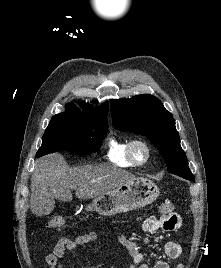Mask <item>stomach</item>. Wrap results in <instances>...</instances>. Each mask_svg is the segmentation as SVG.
<instances>
[{"label":"stomach","instance_id":"stomach-1","mask_svg":"<svg viewBox=\"0 0 221 268\" xmlns=\"http://www.w3.org/2000/svg\"><path fill=\"white\" fill-rule=\"evenodd\" d=\"M159 193V188L152 181L135 178L109 193L94 198L86 210L112 216L149 205L157 199Z\"/></svg>","mask_w":221,"mask_h":268}]
</instances>
